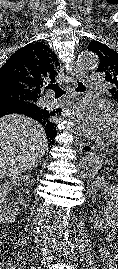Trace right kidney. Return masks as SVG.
Wrapping results in <instances>:
<instances>
[{"mask_svg":"<svg viewBox=\"0 0 118 269\" xmlns=\"http://www.w3.org/2000/svg\"><path fill=\"white\" fill-rule=\"evenodd\" d=\"M33 179L28 175H17L13 176L10 180H6L2 185H0V222L9 223L15 220L19 209L7 205L8 195L11 190L20 183H24L26 192L28 193V188L31 186Z\"/></svg>","mask_w":118,"mask_h":269,"instance_id":"right-kidney-1","label":"right kidney"}]
</instances>
